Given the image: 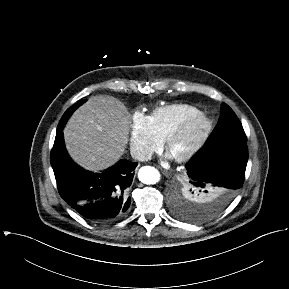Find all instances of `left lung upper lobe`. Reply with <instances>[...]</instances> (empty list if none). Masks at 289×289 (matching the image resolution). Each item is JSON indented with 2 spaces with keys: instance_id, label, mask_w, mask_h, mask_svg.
<instances>
[{
  "instance_id": "5c2ea615",
  "label": "left lung upper lobe",
  "mask_w": 289,
  "mask_h": 289,
  "mask_svg": "<svg viewBox=\"0 0 289 289\" xmlns=\"http://www.w3.org/2000/svg\"><path fill=\"white\" fill-rule=\"evenodd\" d=\"M246 141L247 138L239 119L232 109L223 103L219 121L203 148ZM212 201L211 193L201 188L188 186L183 182L175 196L172 209L175 215L182 219L195 222L206 221L219 214L212 210Z\"/></svg>"
}]
</instances>
